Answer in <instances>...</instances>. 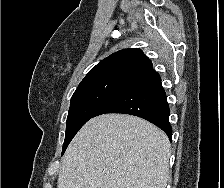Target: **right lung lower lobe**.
<instances>
[{"label":"right lung lower lobe","instance_id":"obj_1","mask_svg":"<svg viewBox=\"0 0 224 188\" xmlns=\"http://www.w3.org/2000/svg\"><path fill=\"white\" fill-rule=\"evenodd\" d=\"M106 113H123L141 117L160 127L171 140L169 106L159 74L148 68L104 103L93 117Z\"/></svg>","mask_w":224,"mask_h":188}]
</instances>
